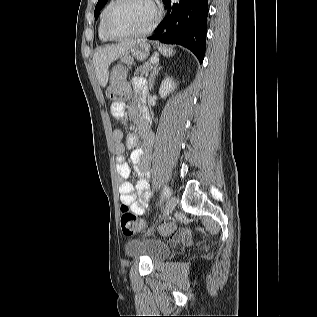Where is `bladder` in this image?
Masks as SVG:
<instances>
[{
  "mask_svg": "<svg viewBox=\"0 0 317 317\" xmlns=\"http://www.w3.org/2000/svg\"><path fill=\"white\" fill-rule=\"evenodd\" d=\"M127 254L131 257L146 256L151 260H160L170 253L169 246L161 240H145L137 238L130 240L125 245Z\"/></svg>",
  "mask_w": 317,
  "mask_h": 317,
  "instance_id": "bladder-1",
  "label": "bladder"
}]
</instances>
